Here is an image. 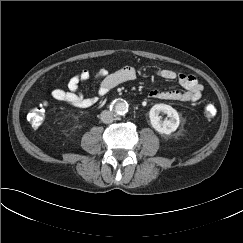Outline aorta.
Wrapping results in <instances>:
<instances>
[{
    "mask_svg": "<svg viewBox=\"0 0 243 243\" xmlns=\"http://www.w3.org/2000/svg\"><path fill=\"white\" fill-rule=\"evenodd\" d=\"M129 105L126 101H117L114 105V111L117 115H125L128 112Z\"/></svg>",
    "mask_w": 243,
    "mask_h": 243,
    "instance_id": "762f6f07",
    "label": "aorta"
}]
</instances>
